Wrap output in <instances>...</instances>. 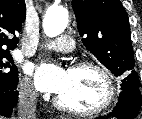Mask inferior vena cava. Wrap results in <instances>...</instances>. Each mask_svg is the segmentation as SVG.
Instances as JSON below:
<instances>
[{"instance_id":"602c4592","label":"inferior vena cava","mask_w":142,"mask_h":119,"mask_svg":"<svg viewBox=\"0 0 142 119\" xmlns=\"http://www.w3.org/2000/svg\"><path fill=\"white\" fill-rule=\"evenodd\" d=\"M37 93L32 86H23L19 92L17 119H35Z\"/></svg>"}]
</instances>
